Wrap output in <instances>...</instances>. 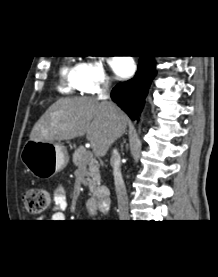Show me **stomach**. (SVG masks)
I'll list each match as a JSON object with an SVG mask.
<instances>
[{"mask_svg":"<svg viewBox=\"0 0 218 277\" xmlns=\"http://www.w3.org/2000/svg\"><path fill=\"white\" fill-rule=\"evenodd\" d=\"M20 158L25 167L38 178H49L66 167L69 156L66 148L56 142L29 140Z\"/></svg>","mask_w":218,"mask_h":277,"instance_id":"obj_1","label":"stomach"}]
</instances>
